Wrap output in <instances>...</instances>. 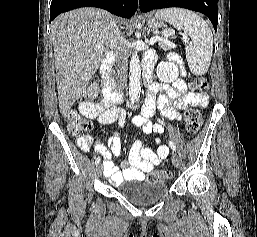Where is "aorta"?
<instances>
[{
	"label": "aorta",
	"mask_w": 257,
	"mask_h": 237,
	"mask_svg": "<svg viewBox=\"0 0 257 237\" xmlns=\"http://www.w3.org/2000/svg\"><path fill=\"white\" fill-rule=\"evenodd\" d=\"M141 68L137 51H134L130 60L129 67V96L132 100H138L141 93Z\"/></svg>",
	"instance_id": "obj_1"
}]
</instances>
